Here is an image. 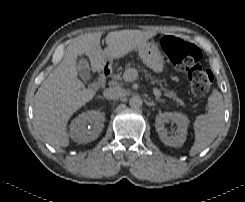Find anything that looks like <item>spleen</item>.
<instances>
[{
  "instance_id": "obj_1",
  "label": "spleen",
  "mask_w": 245,
  "mask_h": 202,
  "mask_svg": "<svg viewBox=\"0 0 245 202\" xmlns=\"http://www.w3.org/2000/svg\"><path fill=\"white\" fill-rule=\"evenodd\" d=\"M208 107V114L198 116L194 122L195 142L190 150V156L207 148L221 130L224 105L222 94L217 90L209 97Z\"/></svg>"
}]
</instances>
